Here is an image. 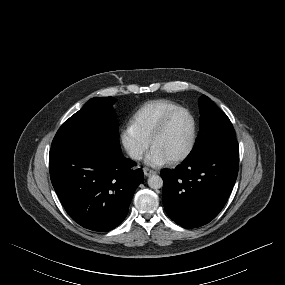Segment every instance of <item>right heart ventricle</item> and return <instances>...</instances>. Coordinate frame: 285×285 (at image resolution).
I'll return each mask as SVG.
<instances>
[{
  "label": "right heart ventricle",
  "instance_id": "right-heart-ventricle-1",
  "mask_svg": "<svg viewBox=\"0 0 285 285\" xmlns=\"http://www.w3.org/2000/svg\"><path fill=\"white\" fill-rule=\"evenodd\" d=\"M177 106V103L167 99L146 102L133 114L131 124L140 135L149 141L160 119L165 113Z\"/></svg>",
  "mask_w": 285,
  "mask_h": 285
}]
</instances>
